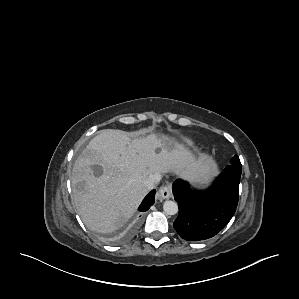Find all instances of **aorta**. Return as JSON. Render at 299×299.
Instances as JSON below:
<instances>
[{
  "mask_svg": "<svg viewBox=\"0 0 299 299\" xmlns=\"http://www.w3.org/2000/svg\"><path fill=\"white\" fill-rule=\"evenodd\" d=\"M163 210L168 215H175L178 213V204L175 201L167 200L163 204Z\"/></svg>",
  "mask_w": 299,
  "mask_h": 299,
  "instance_id": "1",
  "label": "aorta"
}]
</instances>
